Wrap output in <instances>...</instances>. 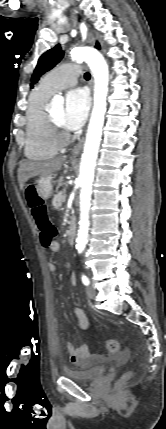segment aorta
Instances as JSON below:
<instances>
[{
    "mask_svg": "<svg viewBox=\"0 0 166 429\" xmlns=\"http://www.w3.org/2000/svg\"><path fill=\"white\" fill-rule=\"evenodd\" d=\"M72 60L85 61L94 77V105L86 134L84 151L80 163V220L76 249L82 252L88 241L89 209L96 160L104 125L106 99L108 94L109 70L104 57L91 47H76L70 52ZM55 103H63L61 96H55Z\"/></svg>",
    "mask_w": 166,
    "mask_h": 429,
    "instance_id": "1",
    "label": "aorta"
}]
</instances>
